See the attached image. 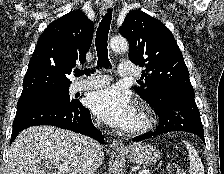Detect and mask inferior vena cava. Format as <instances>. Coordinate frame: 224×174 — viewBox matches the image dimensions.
<instances>
[{
	"instance_id": "inferior-vena-cava-1",
	"label": "inferior vena cava",
	"mask_w": 224,
	"mask_h": 174,
	"mask_svg": "<svg viewBox=\"0 0 224 174\" xmlns=\"http://www.w3.org/2000/svg\"><path fill=\"white\" fill-rule=\"evenodd\" d=\"M97 126H99V123H97ZM83 143L84 150L87 156H94L98 152V150L101 149L100 145L93 139L85 137ZM94 172V170H83L81 174H95Z\"/></svg>"
}]
</instances>
